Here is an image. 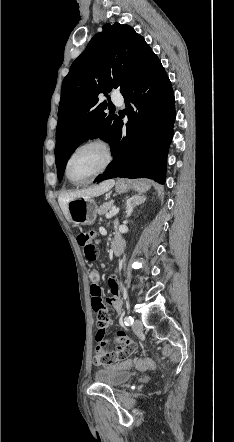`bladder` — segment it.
<instances>
[{
  "instance_id": "obj_1",
  "label": "bladder",
  "mask_w": 234,
  "mask_h": 442,
  "mask_svg": "<svg viewBox=\"0 0 234 442\" xmlns=\"http://www.w3.org/2000/svg\"><path fill=\"white\" fill-rule=\"evenodd\" d=\"M134 373L120 366L100 368L95 372V380L111 387L120 386L133 377Z\"/></svg>"
}]
</instances>
